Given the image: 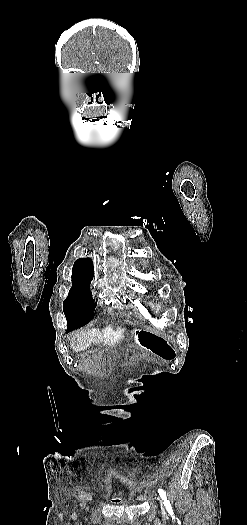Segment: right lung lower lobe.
I'll return each instance as SVG.
<instances>
[{
	"label": "right lung lower lobe",
	"mask_w": 247,
	"mask_h": 525,
	"mask_svg": "<svg viewBox=\"0 0 247 525\" xmlns=\"http://www.w3.org/2000/svg\"><path fill=\"white\" fill-rule=\"evenodd\" d=\"M72 331L71 329H67V332Z\"/></svg>",
	"instance_id": "1"
}]
</instances>
